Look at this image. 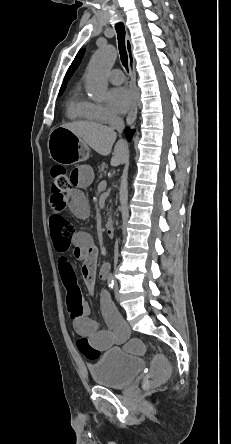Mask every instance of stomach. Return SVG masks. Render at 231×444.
Segmentation results:
<instances>
[{
    "label": "stomach",
    "instance_id": "1",
    "mask_svg": "<svg viewBox=\"0 0 231 444\" xmlns=\"http://www.w3.org/2000/svg\"><path fill=\"white\" fill-rule=\"evenodd\" d=\"M48 151L50 157L61 164L82 162L89 156V149L85 142L63 127H58L50 133Z\"/></svg>",
    "mask_w": 231,
    "mask_h": 444
}]
</instances>
